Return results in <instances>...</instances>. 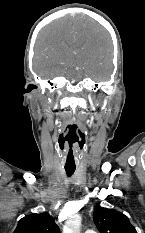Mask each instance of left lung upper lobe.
<instances>
[{"label":"left lung upper lobe","mask_w":145,"mask_h":233,"mask_svg":"<svg viewBox=\"0 0 145 233\" xmlns=\"http://www.w3.org/2000/svg\"><path fill=\"white\" fill-rule=\"evenodd\" d=\"M93 220L100 233H137L128 217L113 209L97 206Z\"/></svg>","instance_id":"left-lung-upper-lobe-1"}]
</instances>
